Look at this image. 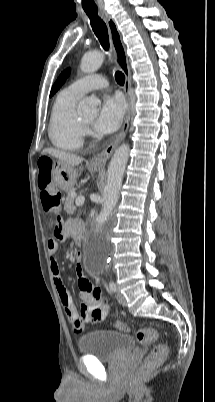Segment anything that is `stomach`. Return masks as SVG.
<instances>
[{"label": "stomach", "mask_w": 215, "mask_h": 402, "mask_svg": "<svg viewBox=\"0 0 215 402\" xmlns=\"http://www.w3.org/2000/svg\"><path fill=\"white\" fill-rule=\"evenodd\" d=\"M92 171H98L97 167H90ZM79 171L74 166H70L61 161H55L52 164L51 176L52 181L61 190L68 191L74 188Z\"/></svg>", "instance_id": "stomach-1"}]
</instances>
